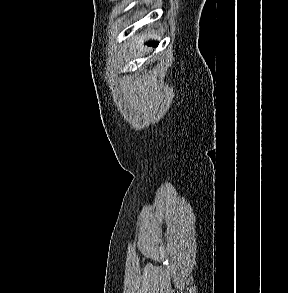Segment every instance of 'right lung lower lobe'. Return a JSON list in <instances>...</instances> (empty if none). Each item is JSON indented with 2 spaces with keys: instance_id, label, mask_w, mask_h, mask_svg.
<instances>
[{
  "instance_id": "98d812e1",
  "label": "right lung lower lobe",
  "mask_w": 288,
  "mask_h": 293,
  "mask_svg": "<svg viewBox=\"0 0 288 293\" xmlns=\"http://www.w3.org/2000/svg\"><path fill=\"white\" fill-rule=\"evenodd\" d=\"M149 45L157 46V43L153 42V43H149Z\"/></svg>"
}]
</instances>
